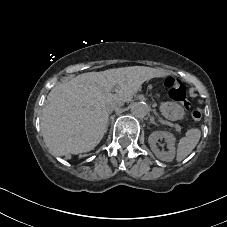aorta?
<instances>
[{
    "label": "aorta",
    "instance_id": "1",
    "mask_svg": "<svg viewBox=\"0 0 227 227\" xmlns=\"http://www.w3.org/2000/svg\"><path fill=\"white\" fill-rule=\"evenodd\" d=\"M131 114L137 118L145 117L149 112V107L144 102H135L131 105Z\"/></svg>",
    "mask_w": 227,
    "mask_h": 227
}]
</instances>
